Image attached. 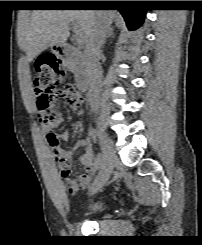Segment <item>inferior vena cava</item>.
Wrapping results in <instances>:
<instances>
[{
	"mask_svg": "<svg viewBox=\"0 0 202 245\" xmlns=\"http://www.w3.org/2000/svg\"><path fill=\"white\" fill-rule=\"evenodd\" d=\"M109 30V22L105 15L99 14L95 26L90 34L84 49L90 79L89 102L91 108L96 111L99 105V97L102 87L103 71L99 60L102 57L101 47L104 44Z\"/></svg>",
	"mask_w": 202,
	"mask_h": 245,
	"instance_id": "1",
	"label": "inferior vena cava"
}]
</instances>
